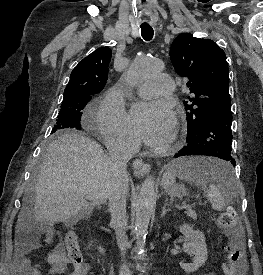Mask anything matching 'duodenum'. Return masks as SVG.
<instances>
[{
  "mask_svg": "<svg viewBox=\"0 0 263 275\" xmlns=\"http://www.w3.org/2000/svg\"><path fill=\"white\" fill-rule=\"evenodd\" d=\"M98 250L102 254L106 253V248H105V246L102 243H98Z\"/></svg>",
  "mask_w": 263,
  "mask_h": 275,
  "instance_id": "410a0bca",
  "label": "duodenum"
}]
</instances>
